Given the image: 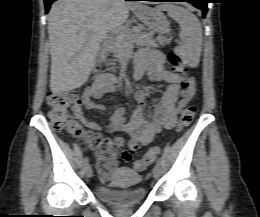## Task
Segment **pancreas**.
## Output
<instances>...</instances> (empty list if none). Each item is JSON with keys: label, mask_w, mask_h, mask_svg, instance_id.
Masks as SVG:
<instances>
[{"label": "pancreas", "mask_w": 260, "mask_h": 217, "mask_svg": "<svg viewBox=\"0 0 260 217\" xmlns=\"http://www.w3.org/2000/svg\"><path fill=\"white\" fill-rule=\"evenodd\" d=\"M134 43L139 46L157 47L168 43V39L164 37L154 39L153 32H141L139 27L132 29L121 27L112 37L106 40L105 47L107 51L113 53L116 59L122 61Z\"/></svg>", "instance_id": "1"}]
</instances>
